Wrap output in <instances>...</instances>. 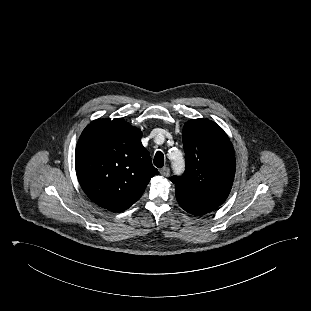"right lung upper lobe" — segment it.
<instances>
[{
  "label": "right lung upper lobe",
  "instance_id": "obj_1",
  "mask_svg": "<svg viewBox=\"0 0 311 311\" xmlns=\"http://www.w3.org/2000/svg\"><path fill=\"white\" fill-rule=\"evenodd\" d=\"M142 132L124 119H97L75 151L78 181L90 200L114 212L128 209L158 173L141 143Z\"/></svg>",
  "mask_w": 311,
  "mask_h": 311
}]
</instances>
